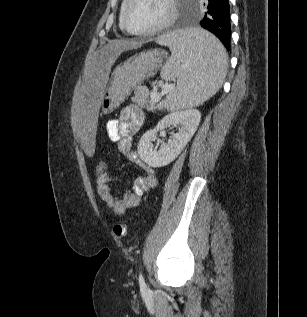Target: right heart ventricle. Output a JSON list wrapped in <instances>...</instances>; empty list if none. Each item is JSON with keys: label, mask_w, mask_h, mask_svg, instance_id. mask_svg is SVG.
<instances>
[{"label": "right heart ventricle", "mask_w": 307, "mask_h": 317, "mask_svg": "<svg viewBox=\"0 0 307 317\" xmlns=\"http://www.w3.org/2000/svg\"><path fill=\"white\" fill-rule=\"evenodd\" d=\"M127 0H123L122 1V4H121V9H120V15H119V27L121 30H123V26H122V23H121V15H122V11H123V8L126 4Z\"/></svg>", "instance_id": "right-heart-ventricle-1"}]
</instances>
